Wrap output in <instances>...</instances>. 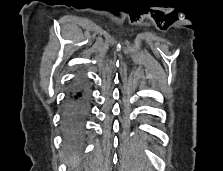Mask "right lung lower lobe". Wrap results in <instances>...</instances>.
<instances>
[{
  "label": "right lung lower lobe",
  "instance_id": "obj_1",
  "mask_svg": "<svg viewBox=\"0 0 223 171\" xmlns=\"http://www.w3.org/2000/svg\"><path fill=\"white\" fill-rule=\"evenodd\" d=\"M87 112L86 97L80 88H76L69 96L65 123L67 135L74 137L81 132L82 122Z\"/></svg>",
  "mask_w": 223,
  "mask_h": 171
}]
</instances>
